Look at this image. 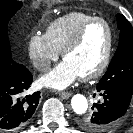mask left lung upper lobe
Wrapping results in <instances>:
<instances>
[{
  "label": "left lung upper lobe",
  "instance_id": "5c2ea615",
  "mask_svg": "<svg viewBox=\"0 0 133 133\" xmlns=\"http://www.w3.org/2000/svg\"><path fill=\"white\" fill-rule=\"evenodd\" d=\"M116 19L120 30L119 45L107 72L97 84V91L120 88L133 93V28L122 14H117ZM89 118L90 115L80 117L78 126L85 131L95 130Z\"/></svg>",
  "mask_w": 133,
  "mask_h": 133
}]
</instances>
